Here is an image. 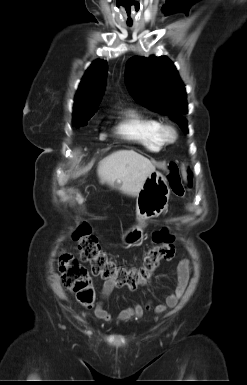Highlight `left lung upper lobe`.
I'll list each match as a JSON object with an SVG mask.
<instances>
[{"label": "left lung upper lobe", "mask_w": 247, "mask_h": 385, "mask_svg": "<svg viewBox=\"0 0 247 385\" xmlns=\"http://www.w3.org/2000/svg\"><path fill=\"white\" fill-rule=\"evenodd\" d=\"M125 81L138 103L155 112L170 115V119L188 133L186 119L176 114L188 112L186 90L168 58H130L126 65Z\"/></svg>", "instance_id": "left-lung-upper-lobe-1"}]
</instances>
